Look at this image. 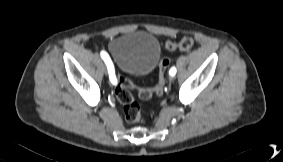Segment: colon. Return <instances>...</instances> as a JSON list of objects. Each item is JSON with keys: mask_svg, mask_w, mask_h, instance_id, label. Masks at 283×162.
<instances>
[{"mask_svg": "<svg viewBox=\"0 0 283 162\" xmlns=\"http://www.w3.org/2000/svg\"><path fill=\"white\" fill-rule=\"evenodd\" d=\"M194 40L191 37H183L179 42L167 41L165 46L170 51H186L193 47ZM169 59L164 57L159 63V77L157 84L152 89L139 90L138 96L141 100H148L153 97H160L163 94L165 86V72L169 66ZM133 83L123 76H117L115 85V95L117 100L123 105L125 118L130 123H139L144 118V109L142 103L134 97L131 90Z\"/></svg>", "mask_w": 283, "mask_h": 162, "instance_id": "1", "label": "colon"}]
</instances>
